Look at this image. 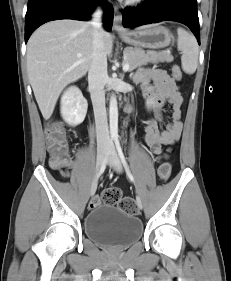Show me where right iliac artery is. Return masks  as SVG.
I'll return each instance as SVG.
<instances>
[{"label":"right iliac artery","mask_w":231,"mask_h":281,"mask_svg":"<svg viewBox=\"0 0 231 281\" xmlns=\"http://www.w3.org/2000/svg\"><path fill=\"white\" fill-rule=\"evenodd\" d=\"M109 145L110 146L113 145L112 140H110V144ZM109 153H110V150L108 149L107 154H106V156H105V158H104V160L102 162V165L100 167V170H99V172L97 174V178H99L103 174V172L105 171V168H106V165H107V161H108Z\"/></svg>","instance_id":"82829eb1"}]
</instances>
